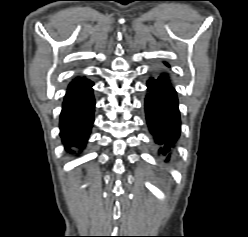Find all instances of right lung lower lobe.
Segmentation results:
<instances>
[{"mask_svg": "<svg viewBox=\"0 0 248 237\" xmlns=\"http://www.w3.org/2000/svg\"><path fill=\"white\" fill-rule=\"evenodd\" d=\"M88 79L73 80L67 90L60 117V130L65 148H83L94 121V97Z\"/></svg>", "mask_w": 248, "mask_h": 237, "instance_id": "1", "label": "right lung lower lobe"}]
</instances>
